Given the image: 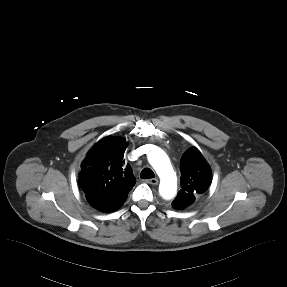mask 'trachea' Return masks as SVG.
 Listing matches in <instances>:
<instances>
[{"instance_id":"trachea-1","label":"trachea","mask_w":287,"mask_h":287,"mask_svg":"<svg viewBox=\"0 0 287 287\" xmlns=\"http://www.w3.org/2000/svg\"><path fill=\"white\" fill-rule=\"evenodd\" d=\"M140 177H141L142 179H151V178H154V177H155V174H154V172H153L150 168H144V169L141 171Z\"/></svg>"}]
</instances>
